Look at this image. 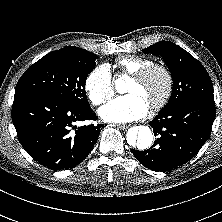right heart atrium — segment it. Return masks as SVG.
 Listing matches in <instances>:
<instances>
[{
	"label": "right heart atrium",
	"mask_w": 222,
	"mask_h": 222,
	"mask_svg": "<svg viewBox=\"0 0 222 222\" xmlns=\"http://www.w3.org/2000/svg\"><path fill=\"white\" fill-rule=\"evenodd\" d=\"M85 90L89 100L100 106L114 95V81L108 66L99 65L94 68L85 80Z\"/></svg>",
	"instance_id": "obj_1"
}]
</instances>
